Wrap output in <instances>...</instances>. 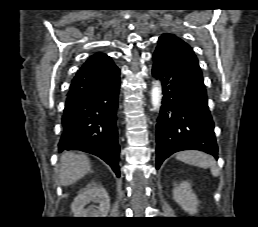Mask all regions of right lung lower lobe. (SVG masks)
Masks as SVG:
<instances>
[{
	"mask_svg": "<svg viewBox=\"0 0 258 227\" xmlns=\"http://www.w3.org/2000/svg\"><path fill=\"white\" fill-rule=\"evenodd\" d=\"M120 71L107 55L90 57L70 85L59 152L81 150L107 162L119 177L117 108Z\"/></svg>",
	"mask_w": 258,
	"mask_h": 227,
	"instance_id": "obj_1",
	"label": "right lung lower lobe"
}]
</instances>
